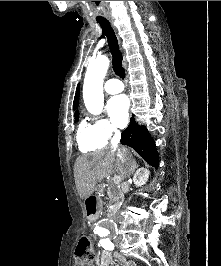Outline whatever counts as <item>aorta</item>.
<instances>
[{
  "label": "aorta",
  "instance_id": "aorta-1",
  "mask_svg": "<svg viewBox=\"0 0 221 266\" xmlns=\"http://www.w3.org/2000/svg\"><path fill=\"white\" fill-rule=\"evenodd\" d=\"M109 67V59L106 56H97L90 61L83 85V99L87 110L92 114H100L104 106L103 79ZM104 230H112L111 226L102 227Z\"/></svg>",
  "mask_w": 221,
  "mask_h": 266
}]
</instances>
